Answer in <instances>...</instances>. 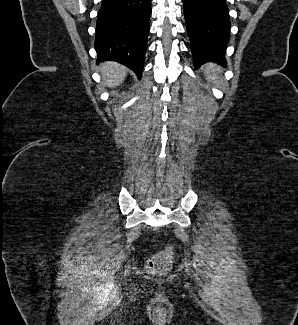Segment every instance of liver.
I'll return each instance as SVG.
<instances>
[{
    "instance_id": "obj_1",
    "label": "liver",
    "mask_w": 298,
    "mask_h": 325,
    "mask_svg": "<svg viewBox=\"0 0 298 325\" xmlns=\"http://www.w3.org/2000/svg\"><path fill=\"white\" fill-rule=\"evenodd\" d=\"M101 74L104 78L105 86H118L123 82L126 74L127 68L122 66V64H118V62H102L100 66Z\"/></svg>"
}]
</instances>
